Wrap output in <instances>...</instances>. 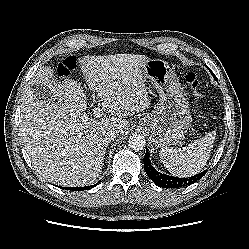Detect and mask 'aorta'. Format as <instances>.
Wrapping results in <instances>:
<instances>
[{
	"label": "aorta",
	"instance_id": "1",
	"mask_svg": "<svg viewBox=\"0 0 249 249\" xmlns=\"http://www.w3.org/2000/svg\"><path fill=\"white\" fill-rule=\"evenodd\" d=\"M130 148L134 150H142L146 145L145 137L142 134H132L128 140Z\"/></svg>",
	"mask_w": 249,
	"mask_h": 249
}]
</instances>
